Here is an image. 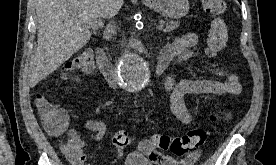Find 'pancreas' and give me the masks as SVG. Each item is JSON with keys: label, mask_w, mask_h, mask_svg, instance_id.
I'll use <instances>...</instances> for the list:
<instances>
[{"label": "pancreas", "mask_w": 276, "mask_h": 165, "mask_svg": "<svg viewBox=\"0 0 276 165\" xmlns=\"http://www.w3.org/2000/svg\"><path fill=\"white\" fill-rule=\"evenodd\" d=\"M178 27H179V22L178 21H170V22L166 23L165 31L166 32H171V31H173L174 29H176Z\"/></svg>", "instance_id": "pancreas-1"}]
</instances>
